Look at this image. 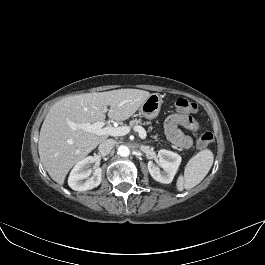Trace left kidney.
<instances>
[{"instance_id":"left-kidney-1","label":"left kidney","mask_w":265,"mask_h":265,"mask_svg":"<svg viewBox=\"0 0 265 265\" xmlns=\"http://www.w3.org/2000/svg\"><path fill=\"white\" fill-rule=\"evenodd\" d=\"M158 166L153 161L148 162V171L151 177L163 184H169L180 166L181 156L169 150L162 149L158 152Z\"/></svg>"}]
</instances>
